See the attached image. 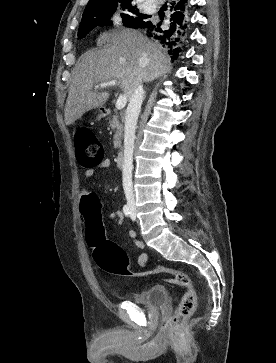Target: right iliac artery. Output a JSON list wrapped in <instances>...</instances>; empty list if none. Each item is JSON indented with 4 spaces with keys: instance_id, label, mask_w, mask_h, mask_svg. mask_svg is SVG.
Returning a JSON list of instances; mask_svg holds the SVG:
<instances>
[{
    "instance_id": "1",
    "label": "right iliac artery",
    "mask_w": 276,
    "mask_h": 363,
    "mask_svg": "<svg viewBox=\"0 0 276 363\" xmlns=\"http://www.w3.org/2000/svg\"><path fill=\"white\" fill-rule=\"evenodd\" d=\"M123 212L126 216H129L131 211H130V207L128 205H124L123 207Z\"/></svg>"
}]
</instances>
